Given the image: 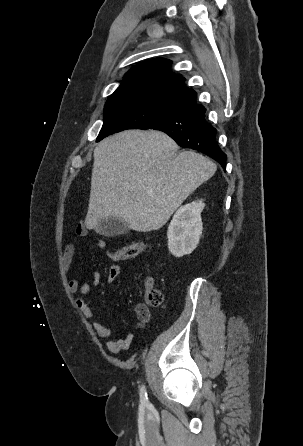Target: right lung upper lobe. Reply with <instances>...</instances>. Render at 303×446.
Wrapping results in <instances>:
<instances>
[{"label": "right lung upper lobe", "mask_w": 303, "mask_h": 446, "mask_svg": "<svg viewBox=\"0 0 303 446\" xmlns=\"http://www.w3.org/2000/svg\"><path fill=\"white\" fill-rule=\"evenodd\" d=\"M170 64L167 59L156 58L132 67L105 106H142L165 110L177 99L186 100V106L195 103L196 92L185 86L182 76L170 70Z\"/></svg>", "instance_id": "1"}]
</instances>
